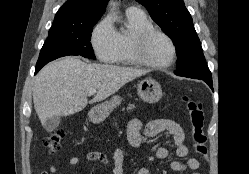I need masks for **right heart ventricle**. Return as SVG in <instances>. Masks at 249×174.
I'll return each mask as SVG.
<instances>
[{"label":"right heart ventricle","mask_w":249,"mask_h":174,"mask_svg":"<svg viewBox=\"0 0 249 174\" xmlns=\"http://www.w3.org/2000/svg\"><path fill=\"white\" fill-rule=\"evenodd\" d=\"M126 25L127 28L125 30L117 32L119 51L115 59L111 62L116 65L129 66L136 64L130 52L131 40L139 31L152 27L151 21L144 13L130 11L126 12Z\"/></svg>","instance_id":"obj_1"}]
</instances>
